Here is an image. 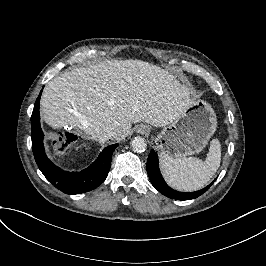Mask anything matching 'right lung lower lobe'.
<instances>
[{
  "instance_id": "right-lung-lower-lobe-1",
  "label": "right lung lower lobe",
  "mask_w": 266,
  "mask_h": 266,
  "mask_svg": "<svg viewBox=\"0 0 266 266\" xmlns=\"http://www.w3.org/2000/svg\"><path fill=\"white\" fill-rule=\"evenodd\" d=\"M42 90L35 102L31 116L32 149L35 161L44 176L66 194H80L98 187L107 177L112 153L118 144L106 147L88 168L80 172H68L54 165L46 156L43 132L40 127L39 101Z\"/></svg>"
}]
</instances>
